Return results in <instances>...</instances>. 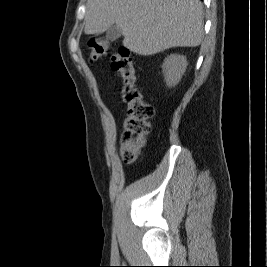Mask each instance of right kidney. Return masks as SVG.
I'll list each match as a JSON object with an SVG mask.
<instances>
[{
  "label": "right kidney",
  "instance_id": "ca27d5eb",
  "mask_svg": "<svg viewBox=\"0 0 267 267\" xmlns=\"http://www.w3.org/2000/svg\"><path fill=\"white\" fill-rule=\"evenodd\" d=\"M187 67L186 57L173 54L168 56L163 63L164 79L168 87L175 86L181 79Z\"/></svg>",
  "mask_w": 267,
  "mask_h": 267
}]
</instances>
